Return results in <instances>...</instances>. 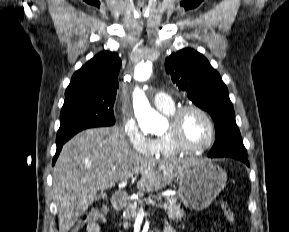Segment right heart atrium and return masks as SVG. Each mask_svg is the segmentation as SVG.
Instances as JSON below:
<instances>
[{"label":"right heart atrium","instance_id":"obj_1","mask_svg":"<svg viewBox=\"0 0 289 232\" xmlns=\"http://www.w3.org/2000/svg\"><path fill=\"white\" fill-rule=\"evenodd\" d=\"M121 126L127 142L134 152L143 156L152 154L153 139L142 132L132 116L124 115Z\"/></svg>","mask_w":289,"mask_h":232}]
</instances>
